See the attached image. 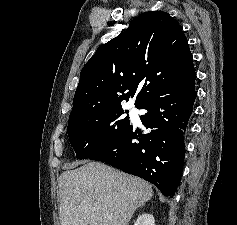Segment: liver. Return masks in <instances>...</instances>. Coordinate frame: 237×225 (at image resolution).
<instances>
[{
    "mask_svg": "<svg viewBox=\"0 0 237 225\" xmlns=\"http://www.w3.org/2000/svg\"><path fill=\"white\" fill-rule=\"evenodd\" d=\"M152 196V186L144 180L88 162L59 178L61 225H128Z\"/></svg>",
    "mask_w": 237,
    "mask_h": 225,
    "instance_id": "1",
    "label": "liver"
}]
</instances>
